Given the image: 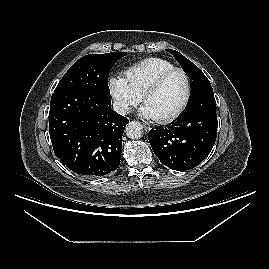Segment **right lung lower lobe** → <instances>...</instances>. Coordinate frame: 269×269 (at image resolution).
<instances>
[{"label": "right lung lower lobe", "instance_id": "obj_1", "mask_svg": "<svg viewBox=\"0 0 269 269\" xmlns=\"http://www.w3.org/2000/svg\"><path fill=\"white\" fill-rule=\"evenodd\" d=\"M129 120L111 109L109 96L80 89L54 92L49 134L55 155L73 172L103 176L120 164Z\"/></svg>", "mask_w": 269, "mask_h": 269}]
</instances>
